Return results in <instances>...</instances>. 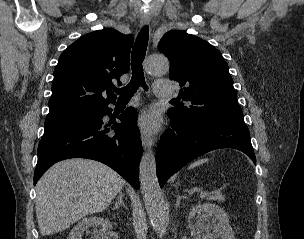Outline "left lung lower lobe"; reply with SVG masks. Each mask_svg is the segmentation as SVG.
Returning <instances> with one entry per match:
<instances>
[{
  "label": "left lung lower lobe",
  "instance_id": "1",
  "mask_svg": "<svg viewBox=\"0 0 304 239\" xmlns=\"http://www.w3.org/2000/svg\"><path fill=\"white\" fill-rule=\"evenodd\" d=\"M171 128L162 136L156 153L160 187L191 160L215 149L233 148L256 158L248 127L244 122L210 121L199 126L182 122L168 111Z\"/></svg>",
  "mask_w": 304,
  "mask_h": 239
}]
</instances>
